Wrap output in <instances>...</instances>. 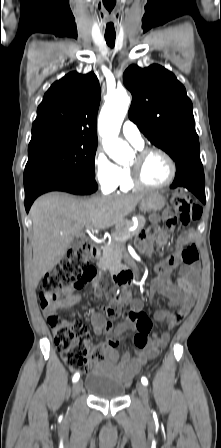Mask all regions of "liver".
<instances>
[{"instance_id":"1","label":"liver","mask_w":221,"mask_h":448,"mask_svg":"<svg viewBox=\"0 0 221 448\" xmlns=\"http://www.w3.org/2000/svg\"><path fill=\"white\" fill-rule=\"evenodd\" d=\"M149 194L78 199L51 192L39 197L30 209L33 222V282L41 278L65 256L74 238L84 237V229H107L120 224Z\"/></svg>"}]
</instances>
